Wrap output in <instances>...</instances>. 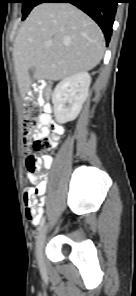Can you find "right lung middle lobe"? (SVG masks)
<instances>
[{"mask_svg": "<svg viewBox=\"0 0 136 296\" xmlns=\"http://www.w3.org/2000/svg\"><path fill=\"white\" fill-rule=\"evenodd\" d=\"M42 0H20L19 2L23 3V18L24 20L27 15L30 13V11L38 4H40Z\"/></svg>", "mask_w": 136, "mask_h": 296, "instance_id": "obj_1", "label": "right lung middle lobe"}]
</instances>
